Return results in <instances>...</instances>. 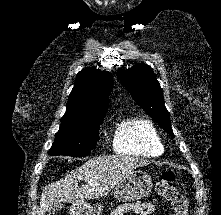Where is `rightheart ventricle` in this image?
I'll list each match as a JSON object with an SVG mask.
<instances>
[{"mask_svg": "<svg viewBox=\"0 0 221 215\" xmlns=\"http://www.w3.org/2000/svg\"><path fill=\"white\" fill-rule=\"evenodd\" d=\"M115 152L145 157L159 156L163 142L154 123L144 117H128L116 127L113 136Z\"/></svg>", "mask_w": 221, "mask_h": 215, "instance_id": "e07e8e85", "label": "right heart ventricle"}]
</instances>
